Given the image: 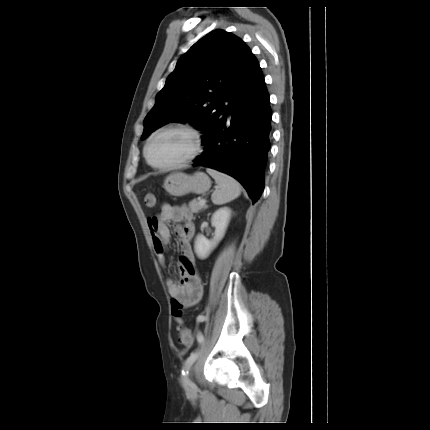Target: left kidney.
Returning a JSON list of instances; mask_svg holds the SVG:
<instances>
[{
	"label": "left kidney",
	"mask_w": 430,
	"mask_h": 430,
	"mask_svg": "<svg viewBox=\"0 0 430 430\" xmlns=\"http://www.w3.org/2000/svg\"><path fill=\"white\" fill-rule=\"evenodd\" d=\"M231 217V210L227 207L220 208L212 216V226L215 234L212 240H208L204 235L198 234L195 240V252L201 259H205L224 237L226 228Z\"/></svg>",
	"instance_id": "obj_1"
}]
</instances>
